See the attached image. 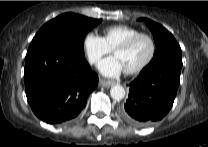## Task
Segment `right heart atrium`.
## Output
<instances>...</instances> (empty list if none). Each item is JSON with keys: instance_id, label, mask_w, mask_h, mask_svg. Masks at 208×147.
<instances>
[{"instance_id": "right-heart-atrium-1", "label": "right heart atrium", "mask_w": 208, "mask_h": 147, "mask_svg": "<svg viewBox=\"0 0 208 147\" xmlns=\"http://www.w3.org/2000/svg\"><path fill=\"white\" fill-rule=\"evenodd\" d=\"M84 50L90 64H97L101 58L111 52L104 38L95 33H87L83 41Z\"/></svg>"}]
</instances>
